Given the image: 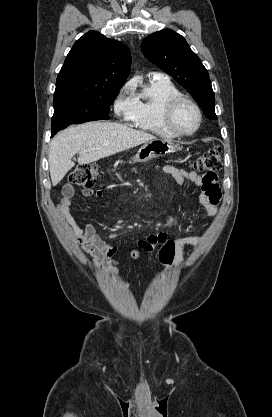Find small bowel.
Returning a JSON list of instances; mask_svg holds the SVG:
<instances>
[{
  "label": "small bowel",
  "instance_id": "c3829d8e",
  "mask_svg": "<svg viewBox=\"0 0 272 417\" xmlns=\"http://www.w3.org/2000/svg\"><path fill=\"white\" fill-rule=\"evenodd\" d=\"M162 171L173 177L178 184L190 181L200 187L201 193L199 195V202L202 206L203 213L206 216H214L216 214L217 205L221 199V190L215 173L201 176L194 171L179 169L170 164L164 165ZM82 194L85 197L95 196L96 198H101L103 196L101 190L94 191L91 187L84 188ZM74 195L75 187L71 183L64 185L62 189V198L58 204V213L61 220L67 225L71 236L80 245L81 250L93 257L94 265L96 267H103L109 274L116 276L118 271L113 269V266L117 264L115 255L118 252V248L104 242L97 234L93 224L87 223L83 227H80L76 223L70 213ZM167 239H170L169 233L156 232L140 239L137 244H160ZM201 241L200 237L194 235H182L177 237L175 239L176 255L174 265L182 267L184 265L183 255L185 248L198 245Z\"/></svg>",
  "mask_w": 272,
  "mask_h": 417
}]
</instances>
